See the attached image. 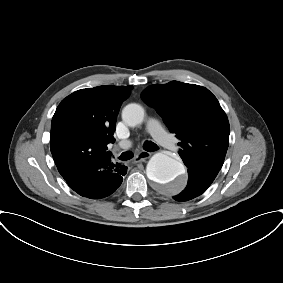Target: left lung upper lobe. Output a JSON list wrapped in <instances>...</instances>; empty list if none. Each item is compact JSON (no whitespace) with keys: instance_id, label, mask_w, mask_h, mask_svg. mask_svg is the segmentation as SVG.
Segmentation results:
<instances>
[{"instance_id":"obj_1","label":"left lung upper lobe","mask_w":283,"mask_h":283,"mask_svg":"<svg viewBox=\"0 0 283 283\" xmlns=\"http://www.w3.org/2000/svg\"><path fill=\"white\" fill-rule=\"evenodd\" d=\"M142 97L181 140L179 155L188 170L215 178L229 144L228 118L216 97L202 86L177 81L151 85Z\"/></svg>"}]
</instances>
